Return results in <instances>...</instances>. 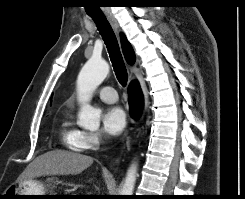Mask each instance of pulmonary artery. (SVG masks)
I'll list each match as a JSON object with an SVG mask.
<instances>
[{
    "label": "pulmonary artery",
    "mask_w": 245,
    "mask_h": 199,
    "mask_svg": "<svg viewBox=\"0 0 245 199\" xmlns=\"http://www.w3.org/2000/svg\"><path fill=\"white\" fill-rule=\"evenodd\" d=\"M95 94L104 102L114 103L118 100V96L114 88L105 86L95 91Z\"/></svg>",
    "instance_id": "pulmonary-artery-1"
}]
</instances>
